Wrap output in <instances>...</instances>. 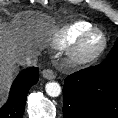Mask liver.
I'll list each match as a JSON object with an SVG mask.
<instances>
[{"instance_id": "1", "label": "liver", "mask_w": 118, "mask_h": 118, "mask_svg": "<svg viewBox=\"0 0 118 118\" xmlns=\"http://www.w3.org/2000/svg\"><path fill=\"white\" fill-rule=\"evenodd\" d=\"M25 19L28 21L19 14L12 24H0V98L8 90L23 57L32 53L52 33L50 23L42 18L30 21L32 26L24 29Z\"/></svg>"}]
</instances>
